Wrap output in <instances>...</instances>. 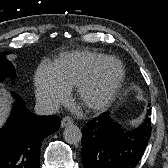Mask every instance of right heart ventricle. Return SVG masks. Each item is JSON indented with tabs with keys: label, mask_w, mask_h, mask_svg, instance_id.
Returning <instances> with one entry per match:
<instances>
[{
	"label": "right heart ventricle",
	"mask_w": 168,
	"mask_h": 168,
	"mask_svg": "<svg viewBox=\"0 0 168 168\" xmlns=\"http://www.w3.org/2000/svg\"><path fill=\"white\" fill-rule=\"evenodd\" d=\"M106 57L93 51H73L62 55L51 68L58 81L70 90L77 87Z\"/></svg>",
	"instance_id": "1"
}]
</instances>
